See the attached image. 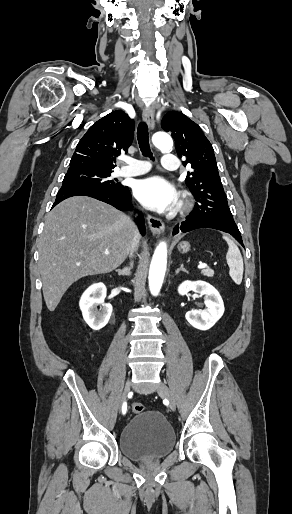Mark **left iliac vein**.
<instances>
[{
  "mask_svg": "<svg viewBox=\"0 0 292 514\" xmlns=\"http://www.w3.org/2000/svg\"><path fill=\"white\" fill-rule=\"evenodd\" d=\"M157 392L163 396L165 399H167L169 407L172 411L176 410V403L174 400V397L169 389V387L164 383L161 382L157 387Z\"/></svg>",
  "mask_w": 292,
  "mask_h": 514,
  "instance_id": "4c4485c4",
  "label": "left iliac vein"
}]
</instances>
